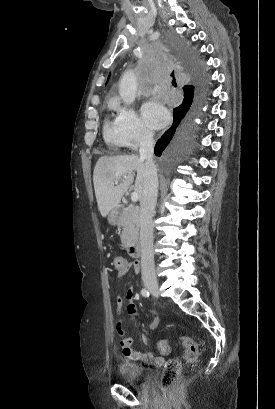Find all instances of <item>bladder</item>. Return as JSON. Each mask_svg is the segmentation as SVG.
Here are the masks:
<instances>
[{
  "mask_svg": "<svg viewBox=\"0 0 275 409\" xmlns=\"http://www.w3.org/2000/svg\"><path fill=\"white\" fill-rule=\"evenodd\" d=\"M116 369L120 381L138 390L144 387L145 382L154 381L153 368L143 367L133 361H120Z\"/></svg>",
  "mask_w": 275,
  "mask_h": 409,
  "instance_id": "obj_1",
  "label": "bladder"
}]
</instances>
